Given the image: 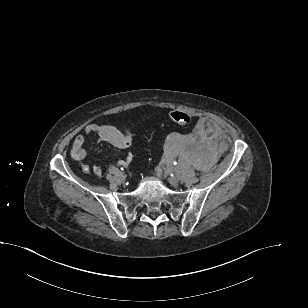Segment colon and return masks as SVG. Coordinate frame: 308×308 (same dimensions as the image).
<instances>
[{"label":"colon","mask_w":308,"mask_h":308,"mask_svg":"<svg viewBox=\"0 0 308 308\" xmlns=\"http://www.w3.org/2000/svg\"><path fill=\"white\" fill-rule=\"evenodd\" d=\"M170 119L180 126H185L191 121L190 115L182 111H172L170 113Z\"/></svg>","instance_id":"obj_1"}]
</instances>
